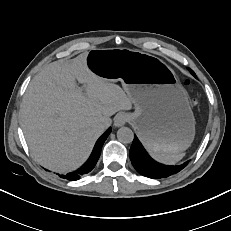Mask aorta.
Returning a JSON list of instances; mask_svg holds the SVG:
<instances>
[{"label":"aorta","instance_id":"1","mask_svg":"<svg viewBox=\"0 0 231 231\" xmlns=\"http://www.w3.org/2000/svg\"><path fill=\"white\" fill-rule=\"evenodd\" d=\"M117 138L122 143H131L134 139L133 131L128 127H121L117 131Z\"/></svg>","mask_w":231,"mask_h":231}]
</instances>
